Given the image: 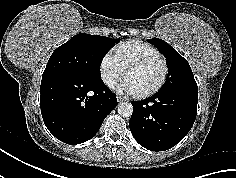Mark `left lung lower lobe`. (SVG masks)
Wrapping results in <instances>:
<instances>
[{
    "instance_id": "1",
    "label": "left lung lower lobe",
    "mask_w": 236,
    "mask_h": 178,
    "mask_svg": "<svg viewBox=\"0 0 236 178\" xmlns=\"http://www.w3.org/2000/svg\"><path fill=\"white\" fill-rule=\"evenodd\" d=\"M198 92L163 91L131 102L129 127L135 140L151 151H165L190 131L197 115Z\"/></svg>"
}]
</instances>
